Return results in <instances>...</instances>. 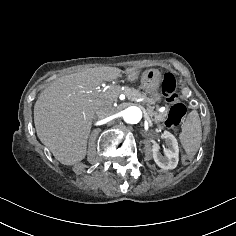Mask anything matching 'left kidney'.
Masks as SVG:
<instances>
[{
    "mask_svg": "<svg viewBox=\"0 0 236 236\" xmlns=\"http://www.w3.org/2000/svg\"><path fill=\"white\" fill-rule=\"evenodd\" d=\"M161 128V126H159ZM165 140L166 148H164V156L160 153V146L155 141L152 145L153 158L156 164L163 169L176 168L179 160L178 142L173 134L164 131L161 136Z\"/></svg>",
    "mask_w": 236,
    "mask_h": 236,
    "instance_id": "5707ae66",
    "label": "left kidney"
}]
</instances>
